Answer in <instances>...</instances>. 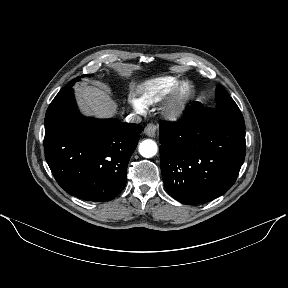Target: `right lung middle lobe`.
Returning a JSON list of instances; mask_svg holds the SVG:
<instances>
[{"label":"right lung middle lobe","instance_id":"1","mask_svg":"<svg viewBox=\"0 0 288 288\" xmlns=\"http://www.w3.org/2000/svg\"><path fill=\"white\" fill-rule=\"evenodd\" d=\"M85 76H88V77H89L90 74H84V75L81 76V77H85ZM78 80H80V77H77L76 79L70 81L64 88H62V89L59 91L58 94H61V93H63L64 91L68 90V89H69L71 86H73L74 83H75L76 81H78Z\"/></svg>","mask_w":288,"mask_h":288}]
</instances>
